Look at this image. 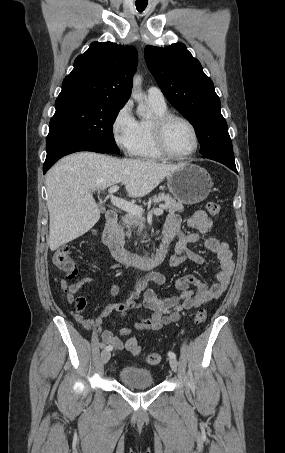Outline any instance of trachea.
I'll return each instance as SVG.
<instances>
[{"label": "trachea", "instance_id": "3493384b", "mask_svg": "<svg viewBox=\"0 0 285 453\" xmlns=\"http://www.w3.org/2000/svg\"><path fill=\"white\" fill-rule=\"evenodd\" d=\"M143 0H136V8L139 12H143L147 7L148 2H141Z\"/></svg>", "mask_w": 285, "mask_h": 453}]
</instances>
